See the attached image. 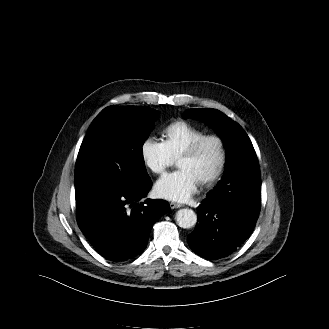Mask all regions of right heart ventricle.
Returning a JSON list of instances; mask_svg holds the SVG:
<instances>
[{"label": "right heart ventricle", "mask_w": 329, "mask_h": 329, "mask_svg": "<svg viewBox=\"0 0 329 329\" xmlns=\"http://www.w3.org/2000/svg\"><path fill=\"white\" fill-rule=\"evenodd\" d=\"M204 134L203 129L183 120L170 123L162 131L163 142L173 158H178L188 145Z\"/></svg>", "instance_id": "1"}]
</instances>
